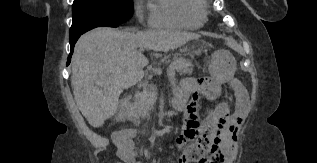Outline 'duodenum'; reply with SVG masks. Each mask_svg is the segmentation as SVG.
<instances>
[{"label": "duodenum", "mask_w": 317, "mask_h": 163, "mask_svg": "<svg viewBox=\"0 0 317 163\" xmlns=\"http://www.w3.org/2000/svg\"><path fill=\"white\" fill-rule=\"evenodd\" d=\"M129 104H130V100L128 97H124L119 105V109L117 111V113L115 114V119L118 122H122L125 121L128 115V111H129ZM118 137H116L117 139Z\"/></svg>", "instance_id": "obj_1"}]
</instances>
